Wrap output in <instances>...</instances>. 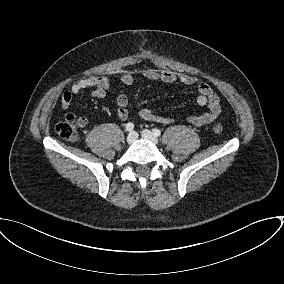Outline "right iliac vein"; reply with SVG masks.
Segmentation results:
<instances>
[{
  "label": "right iliac vein",
  "instance_id": "obj_1",
  "mask_svg": "<svg viewBox=\"0 0 284 284\" xmlns=\"http://www.w3.org/2000/svg\"><path fill=\"white\" fill-rule=\"evenodd\" d=\"M138 138V135L136 132H130L127 136V143L128 144H132L133 142H135Z\"/></svg>",
  "mask_w": 284,
  "mask_h": 284
}]
</instances>
